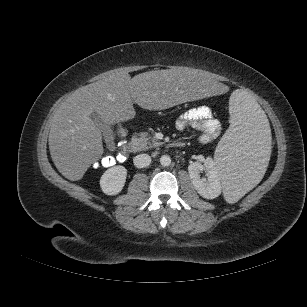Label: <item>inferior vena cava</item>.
<instances>
[{
    "label": "inferior vena cava",
    "mask_w": 307,
    "mask_h": 307,
    "mask_svg": "<svg viewBox=\"0 0 307 307\" xmlns=\"http://www.w3.org/2000/svg\"><path fill=\"white\" fill-rule=\"evenodd\" d=\"M133 163L137 168H145L150 165L151 157L148 154H139L134 157Z\"/></svg>",
    "instance_id": "inferior-vena-cava-1"
}]
</instances>
